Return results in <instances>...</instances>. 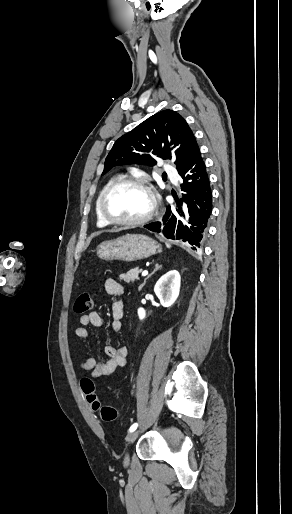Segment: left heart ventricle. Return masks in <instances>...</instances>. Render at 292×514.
<instances>
[{
  "instance_id": "left-heart-ventricle-1",
  "label": "left heart ventricle",
  "mask_w": 292,
  "mask_h": 514,
  "mask_svg": "<svg viewBox=\"0 0 292 514\" xmlns=\"http://www.w3.org/2000/svg\"><path fill=\"white\" fill-rule=\"evenodd\" d=\"M151 205L149 194L135 185L113 189L105 201L106 211L116 219L132 220L144 216Z\"/></svg>"
}]
</instances>
